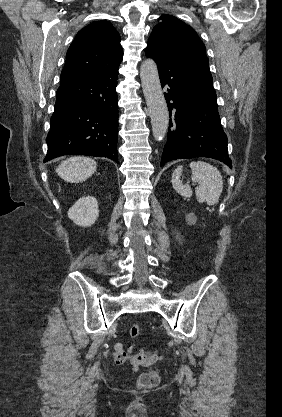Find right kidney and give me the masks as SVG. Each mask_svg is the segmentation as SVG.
I'll return each instance as SVG.
<instances>
[{"label":"right kidney","mask_w":282,"mask_h":417,"mask_svg":"<svg viewBox=\"0 0 282 417\" xmlns=\"http://www.w3.org/2000/svg\"><path fill=\"white\" fill-rule=\"evenodd\" d=\"M68 217L79 227H91L99 217L98 202L94 196H80L70 206Z\"/></svg>","instance_id":"obj_1"}]
</instances>
